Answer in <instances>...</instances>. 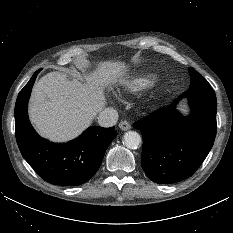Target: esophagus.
<instances>
[{
  "label": "esophagus",
  "instance_id": "obj_1",
  "mask_svg": "<svg viewBox=\"0 0 233 233\" xmlns=\"http://www.w3.org/2000/svg\"><path fill=\"white\" fill-rule=\"evenodd\" d=\"M118 126L123 131H127V130L131 129L130 123L125 121V120L121 121Z\"/></svg>",
  "mask_w": 233,
  "mask_h": 233
}]
</instances>
